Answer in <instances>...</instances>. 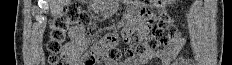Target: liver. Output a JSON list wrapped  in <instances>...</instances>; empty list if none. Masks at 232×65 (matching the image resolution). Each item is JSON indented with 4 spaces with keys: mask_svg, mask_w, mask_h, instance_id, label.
I'll return each instance as SVG.
<instances>
[{
    "mask_svg": "<svg viewBox=\"0 0 232 65\" xmlns=\"http://www.w3.org/2000/svg\"><path fill=\"white\" fill-rule=\"evenodd\" d=\"M69 0H48L50 12L53 16H57L62 13L64 6Z\"/></svg>",
    "mask_w": 232,
    "mask_h": 65,
    "instance_id": "6515ba94",
    "label": "liver"
}]
</instances>
